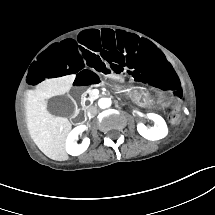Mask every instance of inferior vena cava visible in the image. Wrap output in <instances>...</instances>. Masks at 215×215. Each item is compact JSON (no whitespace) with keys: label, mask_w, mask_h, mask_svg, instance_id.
<instances>
[{"label":"inferior vena cava","mask_w":215,"mask_h":215,"mask_svg":"<svg viewBox=\"0 0 215 215\" xmlns=\"http://www.w3.org/2000/svg\"><path fill=\"white\" fill-rule=\"evenodd\" d=\"M86 111L89 118H93L97 114V108L95 106H88Z\"/></svg>","instance_id":"inferior-vena-cava-1"}]
</instances>
